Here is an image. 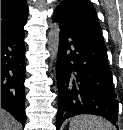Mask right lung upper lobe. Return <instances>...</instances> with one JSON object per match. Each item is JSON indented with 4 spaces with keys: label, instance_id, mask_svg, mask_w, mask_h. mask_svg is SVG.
<instances>
[{
    "label": "right lung upper lobe",
    "instance_id": "obj_1",
    "mask_svg": "<svg viewBox=\"0 0 123 130\" xmlns=\"http://www.w3.org/2000/svg\"><path fill=\"white\" fill-rule=\"evenodd\" d=\"M28 12L26 0H1V30L24 26Z\"/></svg>",
    "mask_w": 123,
    "mask_h": 130
}]
</instances>
